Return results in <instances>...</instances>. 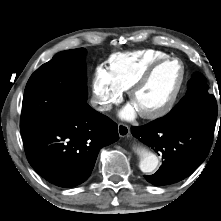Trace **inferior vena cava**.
Here are the masks:
<instances>
[{"label":"inferior vena cava","mask_w":221,"mask_h":221,"mask_svg":"<svg viewBox=\"0 0 221 221\" xmlns=\"http://www.w3.org/2000/svg\"><path fill=\"white\" fill-rule=\"evenodd\" d=\"M100 101L97 99H91V105L93 108H95L98 111H108L111 109V105L103 104L99 105Z\"/></svg>","instance_id":"inferior-vena-cava-1"}]
</instances>
